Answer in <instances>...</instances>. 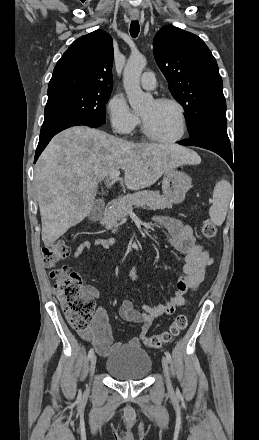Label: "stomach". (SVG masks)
I'll list each match as a JSON object with an SVG mask.
<instances>
[{
  "label": "stomach",
  "instance_id": "0dacf381",
  "mask_svg": "<svg viewBox=\"0 0 259 440\" xmlns=\"http://www.w3.org/2000/svg\"><path fill=\"white\" fill-rule=\"evenodd\" d=\"M190 187L191 178L186 173L174 169L164 173L162 181L163 194L172 203H181Z\"/></svg>",
  "mask_w": 259,
  "mask_h": 440
}]
</instances>
